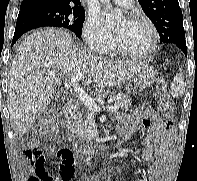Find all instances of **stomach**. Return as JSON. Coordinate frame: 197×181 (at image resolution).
<instances>
[{
  "mask_svg": "<svg viewBox=\"0 0 197 181\" xmlns=\"http://www.w3.org/2000/svg\"><path fill=\"white\" fill-rule=\"evenodd\" d=\"M157 72L153 67L145 64L134 76V84L140 90L150 87L155 79Z\"/></svg>",
  "mask_w": 197,
  "mask_h": 181,
  "instance_id": "0dacf381",
  "label": "stomach"
}]
</instances>
